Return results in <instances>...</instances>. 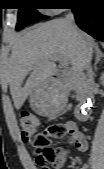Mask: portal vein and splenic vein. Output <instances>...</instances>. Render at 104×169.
Segmentation results:
<instances>
[{"label": "portal vein and splenic vein", "instance_id": "portal-vein-and-splenic-vein-1", "mask_svg": "<svg viewBox=\"0 0 104 169\" xmlns=\"http://www.w3.org/2000/svg\"><path fill=\"white\" fill-rule=\"evenodd\" d=\"M55 60L59 61L61 63L62 66H68L69 62L61 56L55 57Z\"/></svg>", "mask_w": 104, "mask_h": 169}]
</instances>
